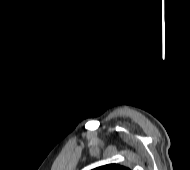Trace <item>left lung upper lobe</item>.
Listing matches in <instances>:
<instances>
[{
	"label": "left lung upper lobe",
	"mask_w": 190,
	"mask_h": 170,
	"mask_svg": "<svg viewBox=\"0 0 190 170\" xmlns=\"http://www.w3.org/2000/svg\"><path fill=\"white\" fill-rule=\"evenodd\" d=\"M94 170H130L127 167L121 166L119 164H108L95 168Z\"/></svg>",
	"instance_id": "obj_1"
}]
</instances>
